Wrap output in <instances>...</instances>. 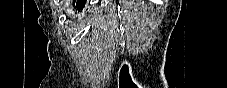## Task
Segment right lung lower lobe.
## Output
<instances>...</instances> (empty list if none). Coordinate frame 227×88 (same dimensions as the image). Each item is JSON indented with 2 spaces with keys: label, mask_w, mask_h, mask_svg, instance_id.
Listing matches in <instances>:
<instances>
[{
  "label": "right lung lower lobe",
  "mask_w": 227,
  "mask_h": 88,
  "mask_svg": "<svg viewBox=\"0 0 227 88\" xmlns=\"http://www.w3.org/2000/svg\"><path fill=\"white\" fill-rule=\"evenodd\" d=\"M73 11L75 12V16H80V12H82L85 7V0H73L72 2Z\"/></svg>",
  "instance_id": "right-lung-lower-lobe-1"
}]
</instances>
